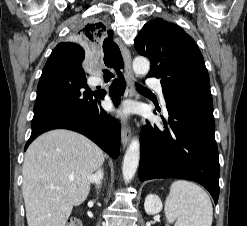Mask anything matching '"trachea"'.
I'll list each match as a JSON object with an SVG mask.
<instances>
[{"label": "trachea", "mask_w": 247, "mask_h": 226, "mask_svg": "<svg viewBox=\"0 0 247 226\" xmlns=\"http://www.w3.org/2000/svg\"><path fill=\"white\" fill-rule=\"evenodd\" d=\"M103 73H104V77L105 78H112L114 77L113 73H111L109 70L105 69L103 70ZM136 88L138 91H143V92H149V90L139 84L136 83Z\"/></svg>", "instance_id": "obj_1"}]
</instances>
